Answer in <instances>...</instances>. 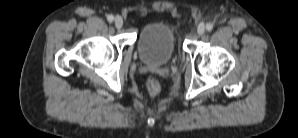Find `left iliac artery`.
<instances>
[{
    "label": "left iliac artery",
    "instance_id": "left-iliac-artery-1",
    "mask_svg": "<svg viewBox=\"0 0 298 138\" xmlns=\"http://www.w3.org/2000/svg\"><path fill=\"white\" fill-rule=\"evenodd\" d=\"M212 29H213V24L208 23V24L206 25V30H207V31H211Z\"/></svg>",
    "mask_w": 298,
    "mask_h": 138
}]
</instances>
